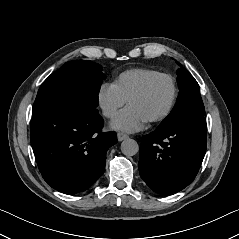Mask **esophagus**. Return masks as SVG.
<instances>
[{
  "mask_svg": "<svg viewBox=\"0 0 239 239\" xmlns=\"http://www.w3.org/2000/svg\"><path fill=\"white\" fill-rule=\"evenodd\" d=\"M117 138H118V141H123V140H125V139L128 138V135L119 132V133L117 134Z\"/></svg>",
  "mask_w": 239,
  "mask_h": 239,
  "instance_id": "34e87169",
  "label": "esophagus"
}]
</instances>
